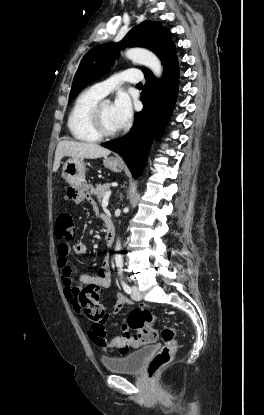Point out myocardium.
<instances>
[{
    "instance_id": "1",
    "label": "myocardium",
    "mask_w": 264,
    "mask_h": 415,
    "mask_svg": "<svg viewBox=\"0 0 264 415\" xmlns=\"http://www.w3.org/2000/svg\"><path fill=\"white\" fill-rule=\"evenodd\" d=\"M103 103L98 102L90 111L89 113V123L93 130V132L100 138V139H109L115 138L120 135V130L115 132H107L104 129L102 117H101V106Z\"/></svg>"
}]
</instances>
